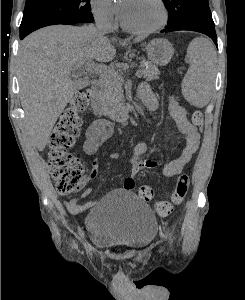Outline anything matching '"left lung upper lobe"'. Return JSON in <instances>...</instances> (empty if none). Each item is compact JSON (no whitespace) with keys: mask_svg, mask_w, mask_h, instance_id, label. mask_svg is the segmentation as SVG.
Segmentation results:
<instances>
[{"mask_svg":"<svg viewBox=\"0 0 245 300\" xmlns=\"http://www.w3.org/2000/svg\"><path fill=\"white\" fill-rule=\"evenodd\" d=\"M169 18L167 27L184 20L199 21L214 25L208 0H162Z\"/></svg>","mask_w":245,"mask_h":300,"instance_id":"1","label":"left lung upper lobe"}]
</instances>
